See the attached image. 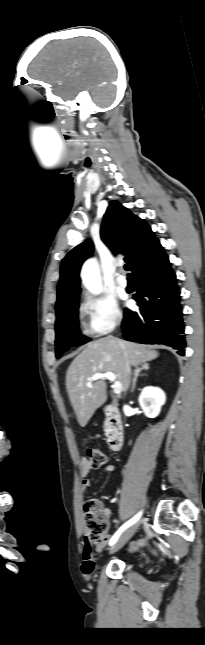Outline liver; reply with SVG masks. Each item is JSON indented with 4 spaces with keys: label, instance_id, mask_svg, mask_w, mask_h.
I'll list each match as a JSON object with an SVG mask.
<instances>
[{
    "label": "liver",
    "instance_id": "6515ba94",
    "mask_svg": "<svg viewBox=\"0 0 205 645\" xmlns=\"http://www.w3.org/2000/svg\"><path fill=\"white\" fill-rule=\"evenodd\" d=\"M157 357L155 350L111 336L89 342L66 373V389L79 425L85 427L96 409L107 400L105 378L96 380L92 387H88L89 378L96 373L112 372L122 384V390H126L131 366Z\"/></svg>",
    "mask_w": 205,
    "mask_h": 645
}]
</instances>
